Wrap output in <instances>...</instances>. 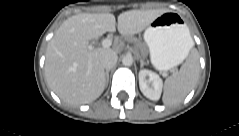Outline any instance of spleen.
Here are the masks:
<instances>
[{
    "label": "spleen",
    "instance_id": "spleen-1",
    "mask_svg": "<svg viewBox=\"0 0 239 136\" xmlns=\"http://www.w3.org/2000/svg\"><path fill=\"white\" fill-rule=\"evenodd\" d=\"M188 40L192 47L194 42L190 33H188ZM199 69L198 55L193 52L180 70L165 80L162 97L163 103L174 105L182 102L196 85L199 77Z\"/></svg>",
    "mask_w": 239,
    "mask_h": 136
}]
</instances>
